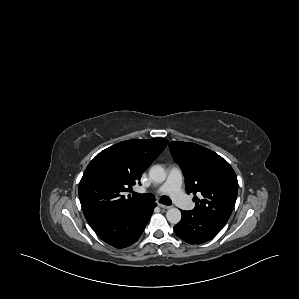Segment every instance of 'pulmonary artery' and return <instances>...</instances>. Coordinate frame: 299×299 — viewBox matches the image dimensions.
Returning <instances> with one entry per match:
<instances>
[{"instance_id":"1","label":"pulmonary artery","mask_w":299,"mask_h":299,"mask_svg":"<svg viewBox=\"0 0 299 299\" xmlns=\"http://www.w3.org/2000/svg\"><path fill=\"white\" fill-rule=\"evenodd\" d=\"M182 172L177 166H172L169 170L166 181L156 189L160 195L168 194L172 200L182 208H189L191 204L186 199L182 189ZM143 191V190H142Z\"/></svg>"}]
</instances>
